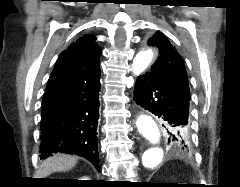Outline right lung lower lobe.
I'll return each instance as SVG.
<instances>
[{
    "mask_svg": "<svg viewBox=\"0 0 240 187\" xmlns=\"http://www.w3.org/2000/svg\"><path fill=\"white\" fill-rule=\"evenodd\" d=\"M99 78L100 71L67 81L44 93L40 159L62 152L83 156L99 167Z\"/></svg>",
    "mask_w": 240,
    "mask_h": 187,
    "instance_id": "right-lung-lower-lobe-1",
    "label": "right lung lower lobe"
}]
</instances>
